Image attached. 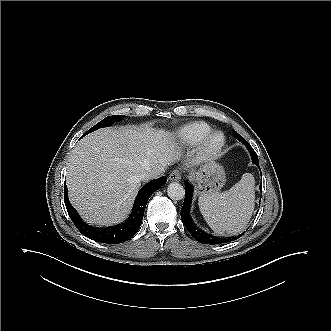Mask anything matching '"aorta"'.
Returning <instances> with one entry per match:
<instances>
[{
	"instance_id": "762f6f07",
	"label": "aorta",
	"mask_w": 331,
	"mask_h": 331,
	"mask_svg": "<svg viewBox=\"0 0 331 331\" xmlns=\"http://www.w3.org/2000/svg\"><path fill=\"white\" fill-rule=\"evenodd\" d=\"M167 194L172 200H182L185 196L184 187L177 182L168 185Z\"/></svg>"
}]
</instances>
